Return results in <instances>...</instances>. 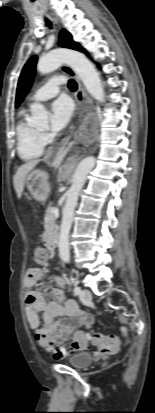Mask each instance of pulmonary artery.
I'll use <instances>...</instances> for the list:
<instances>
[{
    "mask_svg": "<svg viewBox=\"0 0 155 413\" xmlns=\"http://www.w3.org/2000/svg\"><path fill=\"white\" fill-rule=\"evenodd\" d=\"M66 82V78L62 75L49 78L43 86L38 88L30 98L31 102L45 101L55 97L59 91L60 86Z\"/></svg>",
    "mask_w": 155,
    "mask_h": 413,
    "instance_id": "e3ab8cb5",
    "label": "pulmonary artery"
}]
</instances>
